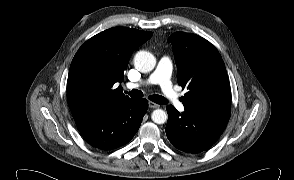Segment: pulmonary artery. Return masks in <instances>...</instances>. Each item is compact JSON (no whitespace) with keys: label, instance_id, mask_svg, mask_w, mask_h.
I'll list each match as a JSON object with an SVG mask.
<instances>
[{"label":"pulmonary artery","instance_id":"pulmonary-artery-1","mask_svg":"<svg viewBox=\"0 0 294 180\" xmlns=\"http://www.w3.org/2000/svg\"><path fill=\"white\" fill-rule=\"evenodd\" d=\"M172 65L168 57H162L154 72L149 76L146 83L160 85L163 93L172 101L174 106L179 112H184L185 107L183 103L178 99V96L173 88L171 82ZM142 83H129L127 88L135 89L139 88Z\"/></svg>","mask_w":294,"mask_h":180}]
</instances>
